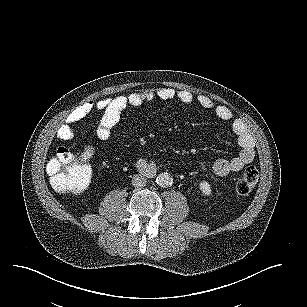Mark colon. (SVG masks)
Segmentation results:
<instances>
[{
	"mask_svg": "<svg viewBox=\"0 0 307 307\" xmlns=\"http://www.w3.org/2000/svg\"><path fill=\"white\" fill-rule=\"evenodd\" d=\"M51 185L58 193L81 194L91 183V169L82 154L71 148L61 147L48 163ZM258 181V170L249 166L238 177L235 191L250 193Z\"/></svg>",
	"mask_w": 307,
	"mask_h": 307,
	"instance_id": "5ec220e1",
	"label": "colon"
}]
</instances>
